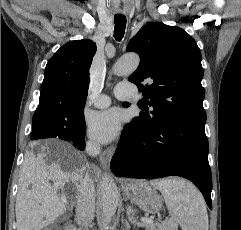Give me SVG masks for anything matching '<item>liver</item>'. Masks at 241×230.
<instances>
[{
    "mask_svg": "<svg viewBox=\"0 0 241 230\" xmlns=\"http://www.w3.org/2000/svg\"><path fill=\"white\" fill-rule=\"evenodd\" d=\"M40 148L37 156L25 155L21 169L15 204L17 230H40L52 224L68 208L66 199L58 198V191L72 182L76 193L71 199L77 197L86 170L85 160L68 143L54 141L53 149ZM49 155L56 160L48 162Z\"/></svg>",
    "mask_w": 241,
    "mask_h": 230,
    "instance_id": "obj_1",
    "label": "liver"
}]
</instances>
